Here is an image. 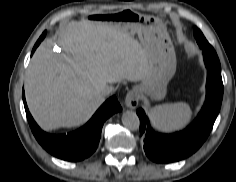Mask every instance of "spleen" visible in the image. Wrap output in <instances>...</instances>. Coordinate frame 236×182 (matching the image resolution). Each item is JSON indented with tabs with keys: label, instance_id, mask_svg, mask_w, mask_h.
<instances>
[{
	"label": "spleen",
	"instance_id": "1",
	"mask_svg": "<svg viewBox=\"0 0 236 182\" xmlns=\"http://www.w3.org/2000/svg\"><path fill=\"white\" fill-rule=\"evenodd\" d=\"M149 117L155 128L170 132L185 127L192 118V111L183 102L167 103L151 108Z\"/></svg>",
	"mask_w": 236,
	"mask_h": 182
}]
</instances>
